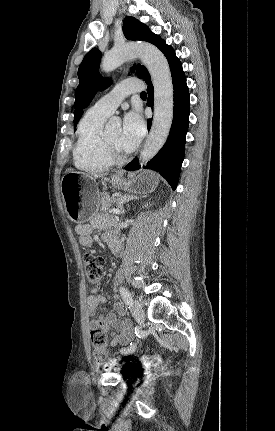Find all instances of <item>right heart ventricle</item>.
<instances>
[{
    "label": "right heart ventricle",
    "mask_w": 275,
    "mask_h": 431,
    "mask_svg": "<svg viewBox=\"0 0 275 431\" xmlns=\"http://www.w3.org/2000/svg\"><path fill=\"white\" fill-rule=\"evenodd\" d=\"M108 116L90 108L81 118L73 150L74 164L78 169L97 173L112 165L104 154L102 143L103 125Z\"/></svg>",
    "instance_id": "obj_1"
}]
</instances>
